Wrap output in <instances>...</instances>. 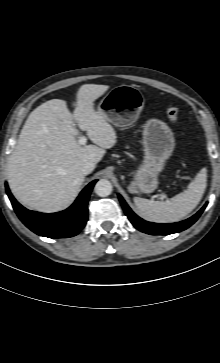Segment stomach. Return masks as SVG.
<instances>
[{
  "label": "stomach",
  "mask_w": 220,
  "mask_h": 363,
  "mask_svg": "<svg viewBox=\"0 0 220 363\" xmlns=\"http://www.w3.org/2000/svg\"><path fill=\"white\" fill-rule=\"evenodd\" d=\"M145 106L142 92L130 85L114 87L100 101L97 112L117 127L132 125ZM143 161L133 171L128 187L131 193H152L159 184V175L171 156L175 139L169 126L159 119H149L142 130Z\"/></svg>",
  "instance_id": "1"
}]
</instances>
